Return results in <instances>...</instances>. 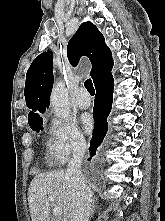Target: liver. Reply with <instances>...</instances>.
Masks as SVG:
<instances>
[{"mask_svg": "<svg viewBox=\"0 0 165 221\" xmlns=\"http://www.w3.org/2000/svg\"><path fill=\"white\" fill-rule=\"evenodd\" d=\"M62 208L66 218H72L74 191L69 176L63 170L38 174L28 189V204L32 221H49L50 201Z\"/></svg>", "mask_w": 165, "mask_h": 221, "instance_id": "6515ba94", "label": "liver"}]
</instances>
